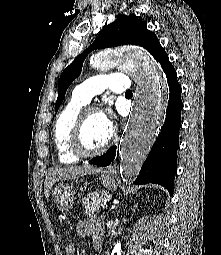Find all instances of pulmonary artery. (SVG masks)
I'll return each mask as SVG.
<instances>
[{
    "mask_svg": "<svg viewBox=\"0 0 221 255\" xmlns=\"http://www.w3.org/2000/svg\"><path fill=\"white\" fill-rule=\"evenodd\" d=\"M110 89L116 93L127 92L130 89V81L125 74H105L91 77L79 84L72 93V101L85 105L90 100Z\"/></svg>",
    "mask_w": 221,
    "mask_h": 255,
    "instance_id": "pulmonary-artery-1",
    "label": "pulmonary artery"
}]
</instances>
